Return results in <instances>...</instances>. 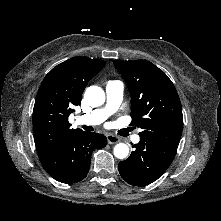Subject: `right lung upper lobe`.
Masks as SVG:
<instances>
[{"mask_svg":"<svg viewBox=\"0 0 221 221\" xmlns=\"http://www.w3.org/2000/svg\"><path fill=\"white\" fill-rule=\"evenodd\" d=\"M101 59L73 57L54 67L38 90L33 109L34 141L39 157L82 132L71 129L69 115L81 102L88 83L105 66Z\"/></svg>","mask_w":221,"mask_h":221,"instance_id":"right-lung-upper-lobe-1","label":"right lung upper lobe"}]
</instances>
